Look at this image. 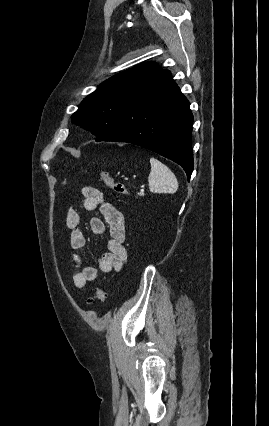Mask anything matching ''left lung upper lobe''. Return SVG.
Here are the masks:
<instances>
[{
  "label": "left lung upper lobe",
  "instance_id": "1",
  "mask_svg": "<svg viewBox=\"0 0 269 426\" xmlns=\"http://www.w3.org/2000/svg\"><path fill=\"white\" fill-rule=\"evenodd\" d=\"M162 69L154 62L139 64L98 86L72 115V122L96 135V141L110 137L132 96L149 85Z\"/></svg>",
  "mask_w": 269,
  "mask_h": 426
}]
</instances>
